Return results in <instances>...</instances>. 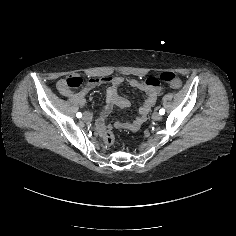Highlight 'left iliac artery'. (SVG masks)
Returning a JSON list of instances; mask_svg holds the SVG:
<instances>
[{"label":"left iliac artery","instance_id":"44dca946","mask_svg":"<svg viewBox=\"0 0 236 236\" xmlns=\"http://www.w3.org/2000/svg\"><path fill=\"white\" fill-rule=\"evenodd\" d=\"M159 113H160L161 115H163V114L165 113V110L162 108V109L159 110Z\"/></svg>","mask_w":236,"mask_h":236}]
</instances>
